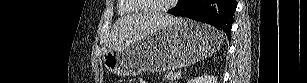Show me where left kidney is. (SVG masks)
Wrapping results in <instances>:
<instances>
[{
	"label": "left kidney",
	"mask_w": 307,
	"mask_h": 83,
	"mask_svg": "<svg viewBox=\"0 0 307 83\" xmlns=\"http://www.w3.org/2000/svg\"><path fill=\"white\" fill-rule=\"evenodd\" d=\"M188 83H217V78L215 76L207 75L198 76L189 80Z\"/></svg>",
	"instance_id": "obj_1"
}]
</instances>
